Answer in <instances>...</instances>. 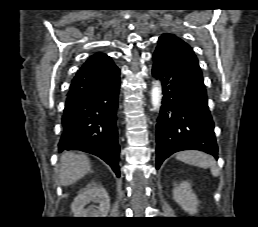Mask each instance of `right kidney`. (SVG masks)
Segmentation results:
<instances>
[{
  "instance_id": "obj_1",
  "label": "right kidney",
  "mask_w": 258,
  "mask_h": 227,
  "mask_svg": "<svg viewBox=\"0 0 258 227\" xmlns=\"http://www.w3.org/2000/svg\"><path fill=\"white\" fill-rule=\"evenodd\" d=\"M91 202L93 204L86 208ZM109 209V195L102 186L97 185L84 188L71 204L74 217H107Z\"/></svg>"
}]
</instances>
